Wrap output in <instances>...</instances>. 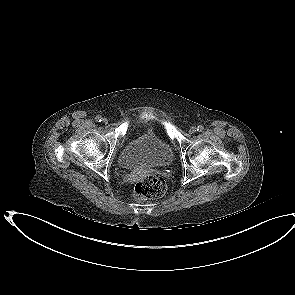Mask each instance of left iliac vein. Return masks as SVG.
I'll return each mask as SVG.
<instances>
[{
	"instance_id": "obj_1",
	"label": "left iliac vein",
	"mask_w": 295,
	"mask_h": 295,
	"mask_svg": "<svg viewBox=\"0 0 295 295\" xmlns=\"http://www.w3.org/2000/svg\"><path fill=\"white\" fill-rule=\"evenodd\" d=\"M196 132V127H191L190 129H189V133L190 134H193V133H195Z\"/></svg>"
}]
</instances>
